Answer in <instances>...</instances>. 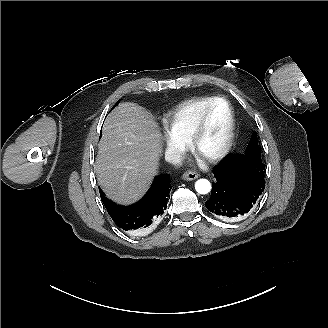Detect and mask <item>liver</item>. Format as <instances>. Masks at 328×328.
<instances>
[{
  "mask_svg": "<svg viewBox=\"0 0 328 328\" xmlns=\"http://www.w3.org/2000/svg\"><path fill=\"white\" fill-rule=\"evenodd\" d=\"M163 136L151 112L120 103L106 118L94 164L98 185L120 205L140 200L158 174Z\"/></svg>",
  "mask_w": 328,
  "mask_h": 328,
  "instance_id": "liver-1",
  "label": "liver"
}]
</instances>
